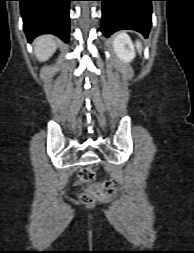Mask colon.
<instances>
[{"mask_svg":"<svg viewBox=\"0 0 194 253\" xmlns=\"http://www.w3.org/2000/svg\"><path fill=\"white\" fill-rule=\"evenodd\" d=\"M95 173L92 168H84L79 173V182L85 184L86 188L80 196L85 203L96 200H105L115 193V184L112 180L106 179L98 182H92Z\"/></svg>","mask_w":194,"mask_h":253,"instance_id":"1","label":"colon"}]
</instances>
